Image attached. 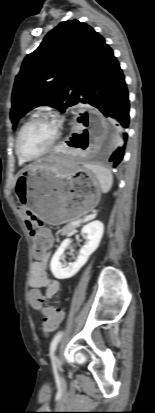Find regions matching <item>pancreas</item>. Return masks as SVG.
Returning <instances> with one entry per match:
<instances>
[{
  "instance_id": "1",
  "label": "pancreas",
  "mask_w": 155,
  "mask_h": 413,
  "mask_svg": "<svg viewBox=\"0 0 155 413\" xmlns=\"http://www.w3.org/2000/svg\"><path fill=\"white\" fill-rule=\"evenodd\" d=\"M80 222L81 221L77 222L76 224L70 223V224L64 226L63 229L60 231V233L62 235H64V234H67V233L71 232L73 229H75L76 227H78L80 225Z\"/></svg>"
}]
</instances>
